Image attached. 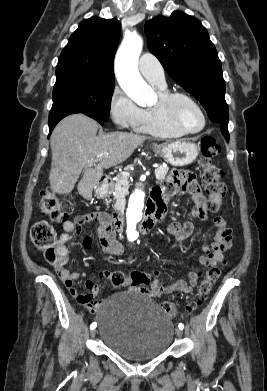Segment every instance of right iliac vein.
Here are the masks:
<instances>
[{
    "label": "right iliac vein",
    "mask_w": 267,
    "mask_h": 391,
    "mask_svg": "<svg viewBox=\"0 0 267 391\" xmlns=\"http://www.w3.org/2000/svg\"><path fill=\"white\" fill-rule=\"evenodd\" d=\"M96 332H97L96 329H93V330L91 331V336H92V337H95Z\"/></svg>",
    "instance_id": "1"
}]
</instances>
